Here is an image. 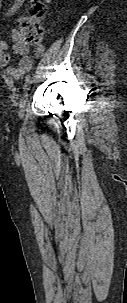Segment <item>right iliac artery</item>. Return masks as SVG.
Returning <instances> with one entry per match:
<instances>
[{
	"label": "right iliac artery",
	"instance_id": "right-iliac-artery-1",
	"mask_svg": "<svg viewBox=\"0 0 127 303\" xmlns=\"http://www.w3.org/2000/svg\"><path fill=\"white\" fill-rule=\"evenodd\" d=\"M32 82H33V80L31 79V77H30V76H27V77H26V82H25V84H24V86H23L24 91L29 90V88H30Z\"/></svg>",
	"mask_w": 127,
	"mask_h": 303
}]
</instances>
